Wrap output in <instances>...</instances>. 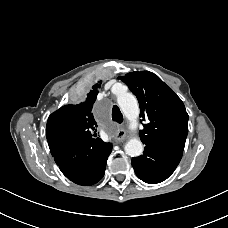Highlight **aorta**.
Wrapping results in <instances>:
<instances>
[{
	"mask_svg": "<svg viewBox=\"0 0 228 228\" xmlns=\"http://www.w3.org/2000/svg\"><path fill=\"white\" fill-rule=\"evenodd\" d=\"M117 102L125 117L135 125L140 112L136 97L131 93L122 92L118 94ZM124 149L127 155L137 157L143 153L144 148L140 139L132 138L126 143Z\"/></svg>",
	"mask_w": 228,
	"mask_h": 228,
	"instance_id": "aorta-1",
	"label": "aorta"
}]
</instances>
